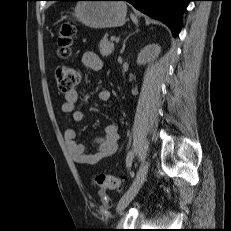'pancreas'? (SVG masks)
<instances>
[{"label":"pancreas","mask_w":231,"mask_h":231,"mask_svg":"<svg viewBox=\"0 0 231 231\" xmlns=\"http://www.w3.org/2000/svg\"><path fill=\"white\" fill-rule=\"evenodd\" d=\"M108 35L106 34L99 44V51L103 57L109 56L114 51V44L108 41Z\"/></svg>","instance_id":"pancreas-1"}]
</instances>
